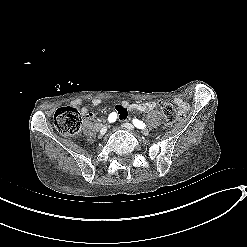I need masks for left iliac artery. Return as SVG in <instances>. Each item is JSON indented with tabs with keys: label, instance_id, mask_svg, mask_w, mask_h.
Wrapping results in <instances>:
<instances>
[{
	"label": "left iliac artery",
	"instance_id": "obj_1",
	"mask_svg": "<svg viewBox=\"0 0 247 247\" xmlns=\"http://www.w3.org/2000/svg\"><path fill=\"white\" fill-rule=\"evenodd\" d=\"M133 125L138 128V129H143L145 128V123H143L142 121L138 120V119H133Z\"/></svg>",
	"mask_w": 247,
	"mask_h": 247
}]
</instances>
